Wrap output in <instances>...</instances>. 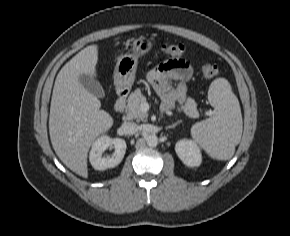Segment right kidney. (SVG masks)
Segmentation results:
<instances>
[{"mask_svg":"<svg viewBox=\"0 0 290 236\" xmlns=\"http://www.w3.org/2000/svg\"><path fill=\"white\" fill-rule=\"evenodd\" d=\"M126 147L125 140L102 135L93 142L91 147L89 160L92 167L95 170L103 171L117 166L125 155ZM108 148H114L115 152L111 157H103L102 154Z\"/></svg>","mask_w":290,"mask_h":236,"instance_id":"right-kidney-1","label":"right kidney"}]
</instances>
